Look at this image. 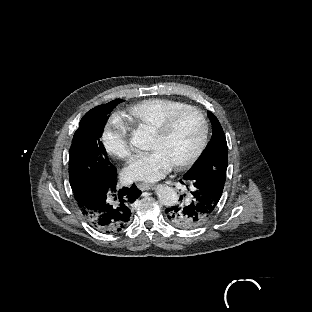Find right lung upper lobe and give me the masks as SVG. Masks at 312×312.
Here are the masks:
<instances>
[{
    "label": "right lung upper lobe",
    "mask_w": 312,
    "mask_h": 312,
    "mask_svg": "<svg viewBox=\"0 0 312 312\" xmlns=\"http://www.w3.org/2000/svg\"><path fill=\"white\" fill-rule=\"evenodd\" d=\"M120 102H122V100L117 99V100H113V101H111V102H109V103H107V104H105V105L97 106V107H95V108H99V109H101V110H104V109L108 108V107L111 106V105L116 106V105H117L118 103H120ZM104 234H105V233H104Z\"/></svg>",
    "instance_id": "1"
}]
</instances>
